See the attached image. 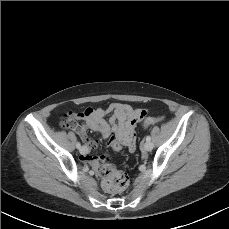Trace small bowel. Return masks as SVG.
I'll list each match as a JSON object with an SVG mask.
<instances>
[{"label":"small bowel","mask_w":229,"mask_h":229,"mask_svg":"<svg viewBox=\"0 0 229 229\" xmlns=\"http://www.w3.org/2000/svg\"><path fill=\"white\" fill-rule=\"evenodd\" d=\"M108 113H112V116L109 121H106L104 117ZM139 113L140 109L112 103L107 108H87L68 115L66 123L84 143L85 151L81 153L82 160L97 171L104 167L108 160L106 155L101 158L89 155V151L96 148L98 144L88 137V130L99 132L105 138H113L110 141V147L114 151H120L122 146H127L130 151H133L135 149V128L141 121Z\"/></svg>","instance_id":"obj_1"}]
</instances>
